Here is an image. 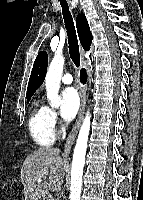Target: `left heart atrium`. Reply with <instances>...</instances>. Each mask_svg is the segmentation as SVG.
<instances>
[{"label":"left heart atrium","mask_w":143,"mask_h":200,"mask_svg":"<svg viewBox=\"0 0 143 200\" xmlns=\"http://www.w3.org/2000/svg\"><path fill=\"white\" fill-rule=\"evenodd\" d=\"M80 105L79 95L73 87L65 88L61 93L60 114L66 121L72 120Z\"/></svg>","instance_id":"left-heart-atrium-1"}]
</instances>
